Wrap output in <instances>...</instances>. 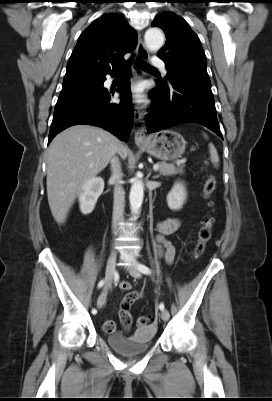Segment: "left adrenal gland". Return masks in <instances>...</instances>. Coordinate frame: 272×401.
Wrapping results in <instances>:
<instances>
[{"mask_svg":"<svg viewBox=\"0 0 272 401\" xmlns=\"http://www.w3.org/2000/svg\"><path fill=\"white\" fill-rule=\"evenodd\" d=\"M153 178H154V179H158V178H159V175H156V176H154Z\"/></svg>","mask_w":272,"mask_h":401,"instance_id":"a2214340","label":"left adrenal gland"}]
</instances>
